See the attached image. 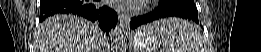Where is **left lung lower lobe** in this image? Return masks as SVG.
Instances as JSON below:
<instances>
[{
	"label": "left lung lower lobe",
	"instance_id": "1",
	"mask_svg": "<svg viewBox=\"0 0 261 52\" xmlns=\"http://www.w3.org/2000/svg\"><path fill=\"white\" fill-rule=\"evenodd\" d=\"M169 16L182 17L199 23L198 11L196 9H193L192 7L184 4H161L156 10L152 11L151 13L132 18L130 22V27L132 29H135L140 25L147 24L153 22L154 20Z\"/></svg>",
	"mask_w": 261,
	"mask_h": 52
}]
</instances>
